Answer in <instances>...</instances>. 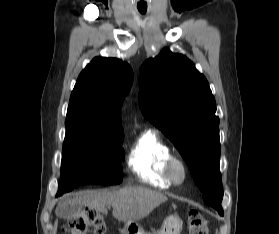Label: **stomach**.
<instances>
[{
    "instance_id": "obj_1",
    "label": "stomach",
    "mask_w": 279,
    "mask_h": 234,
    "mask_svg": "<svg viewBox=\"0 0 279 234\" xmlns=\"http://www.w3.org/2000/svg\"><path fill=\"white\" fill-rule=\"evenodd\" d=\"M182 220L176 215H170L164 220L157 234H180L182 231ZM122 234H146L142 227L136 222H126Z\"/></svg>"
}]
</instances>
